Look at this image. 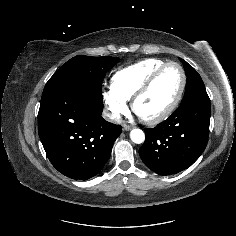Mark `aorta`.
Here are the masks:
<instances>
[{"label": "aorta", "mask_w": 236, "mask_h": 236, "mask_svg": "<svg viewBox=\"0 0 236 236\" xmlns=\"http://www.w3.org/2000/svg\"><path fill=\"white\" fill-rule=\"evenodd\" d=\"M131 140L136 144H141L145 140V134L141 129H133L130 132Z\"/></svg>", "instance_id": "obj_1"}]
</instances>
